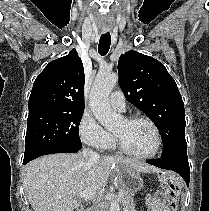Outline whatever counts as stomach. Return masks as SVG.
I'll use <instances>...</instances> for the list:
<instances>
[{"label":"stomach","mask_w":209,"mask_h":211,"mask_svg":"<svg viewBox=\"0 0 209 211\" xmlns=\"http://www.w3.org/2000/svg\"><path fill=\"white\" fill-rule=\"evenodd\" d=\"M117 176L120 187L129 194H134L143 187L142 178L129 167L123 166L119 168Z\"/></svg>","instance_id":"obj_1"}]
</instances>
